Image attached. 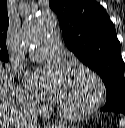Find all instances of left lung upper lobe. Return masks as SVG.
Listing matches in <instances>:
<instances>
[{
	"mask_svg": "<svg viewBox=\"0 0 125 128\" xmlns=\"http://www.w3.org/2000/svg\"><path fill=\"white\" fill-rule=\"evenodd\" d=\"M67 47L97 72L106 87L107 106L125 104L124 62L115 26L93 0H50Z\"/></svg>",
	"mask_w": 125,
	"mask_h": 128,
	"instance_id": "1",
	"label": "left lung upper lobe"
}]
</instances>
